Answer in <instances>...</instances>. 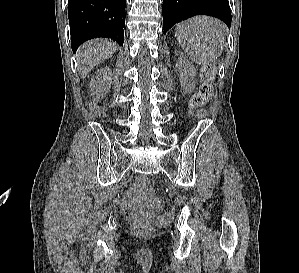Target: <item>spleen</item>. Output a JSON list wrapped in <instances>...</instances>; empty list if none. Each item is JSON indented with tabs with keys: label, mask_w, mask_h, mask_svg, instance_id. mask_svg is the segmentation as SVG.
I'll return each mask as SVG.
<instances>
[{
	"label": "spleen",
	"mask_w": 299,
	"mask_h": 273,
	"mask_svg": "<svg viewBox=\"0 0 299 273\" xmlns=\"http://www.w3.org/2000/svg\"><path fill=\"white\" fill-rule=\"evenodd\" d=\"M226 26L219 19L199 16L178 24L175 37L194 63L206 65L221 55L226 41Z\"/></svg>",
	"instance_id": "1"
}]
</instances>
